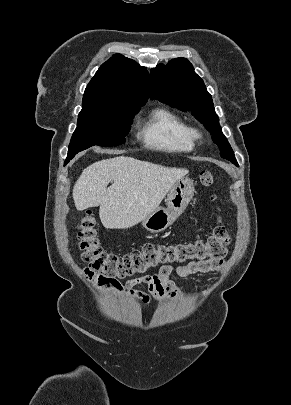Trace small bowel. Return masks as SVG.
I'll return each instance as SVG.
<instances>
[{
    "mask_svg": "<svg viewBox=\"0 0 291 405\" xmlns=\"http://www.w3.org/2000/svg\"><path fill=\"white\" fill-rule=\"evenodd\" d=\"M224 264L225 260L222 258L219 260L191 262L175 268L163 266L156 274L128 280L126 290L130 296L139 299L145 305H150L153 301L162 302L169 299H179L182 295L171 279L173 274L185 278L193 274L219 271ZM139 285H146L148 292L136 289Z\"/></svg>",
    "mask_w": 291,
    "mask_h": 405,
    "instance_id": "obj_1",
    "label": "small bowel"
}]
</instances>
